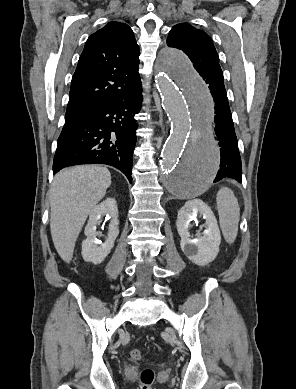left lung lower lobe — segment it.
I'll use <instances>...</instances> for the list:
<instances>
[{
  "mask_svg": "<svg viewBox=\"0 0 296 389\" xmlns=\"http://www.w3.org/2000/svg\"><path fill=\"white\" fill-rule=\"evenodd\" d=\"M211 95L214 100V122L212 121V129L219 141L220 146V168L214 182L223 178H233L241 183L242 168L241 158L238 149V142L234 130L231 111L228 104L227 93L223 82V73L218 76L205 75ZM191 156L181 168V178H186L190 174Z\"/></svg>",
  "mask_w": 296,
  "mask_h": 389,
  "instance_id": "0a47b994",
  "label": "left lung lower lobe"
}]
</instances>
